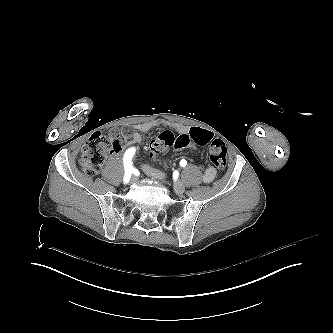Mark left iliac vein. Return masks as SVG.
Segmentation results:
<instances>
[{
  "label": "left iliac vein",
  "mask_w": 333,
  "mask_h": 333,
  "mask_svg": "<svg viewBox=\"0 0 333 333\" xmlns=\"http://www.w3.org/2000/svg\"><path fill=\"white\" fill-rule=\"evenodd\" d=\"M142 167H143V170H144V172L146 174H148V175H154V173L147 166H142ZM156 177L161 178V177H163V174L162 173H157ZM184 190H185V187H184V185H183V183L181 181L178 180V181H176L174 183V191H175V193L182 194L184 192Z\"/></svg>",
  "instance_id": "obj_1"
}]
</instances>
